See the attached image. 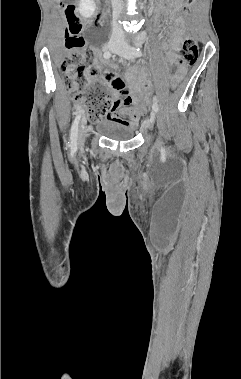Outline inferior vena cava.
Wrapping results in <instances>:
<instances>
[{
  "label": "inferior vena cava",
  "mask_w": 241,
  "mask_h": 379,
  "mask_svg": "<svg viewBox=\"0 0 241 379\" xmlns=\"http://www.w3.org/2000/svg\"><path fill=\"white\" fill-rule=\"evenodd\" d=\"M113 9V32L112 39L123 41L125 34L123 29L118 25L117 19L123 11V1L122 0H111Z\"/></svg>",
  "instance_id": "inferior-vena-cava-1"
}]
</instances>
